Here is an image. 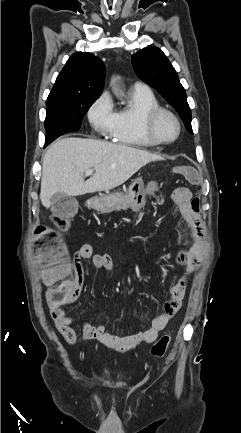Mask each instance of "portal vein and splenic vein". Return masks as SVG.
<instances>
[{
  "mask_svg": "<svg viewBox=\"0 0 241 433\" xmlns=\"http://www.w3.org/2000/svg\"><path fill=\"white\" fill-rule=\"evenodd\" d=\"M93 174V170L92 169H88L85 171V175L89 176Z\"/></svg>",
  "mask_w": 241,
  "mask_h": 433,
  "instance_id": "1",
  "label": "portal vein and splenic vein"
}]
</instances>
